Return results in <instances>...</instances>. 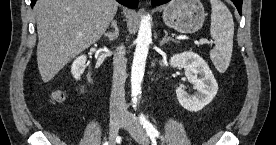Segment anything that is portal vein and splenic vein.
Wrapping results in <instances>:
<instances>
[{"label": "portal vein and splenic vein", "instance_id": "18ae733b", "mask_svg": "<svg viewBox=\"0 0 276 145\" xmlns=\"http://www.w3.org/2000/svg\"><path fill=\"white\" fill-rule=\"evenodd\" d=\"M199 44H201V45H205V44L212 45L213 41H208L207 39H201L199 41Z\"/></svg>", "mask_w": 276, "mask_h": 145}]
</instances>
